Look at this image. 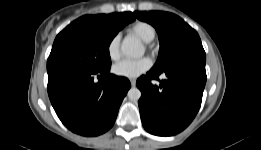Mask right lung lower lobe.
Returning <instances> with one entry per match:
<instances>
[{
    "mask_svg": "<svg viewBox=\"0 0 261 150\" xmlns=\"http://www.w3.org/2000/svg\"><path fill=\"white\" fill-rule=\"evenodd\" d=\"M130 86L127 78L110 74V69L48 72V94L56 114L68 129L83 136H97L113 126Z\"/></svg>",
    "mask_w": 261,
    "mask_h": 150,
    "instance_id": "obj_1",
    "label": "right lung lower lobe"
}]
</instances>
